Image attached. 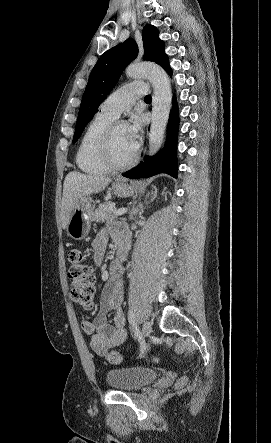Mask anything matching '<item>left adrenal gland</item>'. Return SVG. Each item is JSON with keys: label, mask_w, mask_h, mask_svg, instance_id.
I'll return each mask as SVG.
<instances>
[{"label": "left adrenal gland", "mask_w": 271, "mask_h": 443, "mask_svg": "<svg viewBox=\"0 0 271 443\" xmlns=\"http://www.w3.org/2000/svg\"><path fill=\"white\" fill-rule=\"evenodd\" d=\"M152 194H153V196H150V202H153V200H155V198L157 196L156 190H155V192H152ZM148 198H149V196H148ZM135 204H137V200H136V202H134V206H135ZM134 206H133V210H132L134 216H136V214H140L141 210H144V206H142V204H139L138 208H134Z\"/></svg>", "instance_id": "1"}]
</instances>
